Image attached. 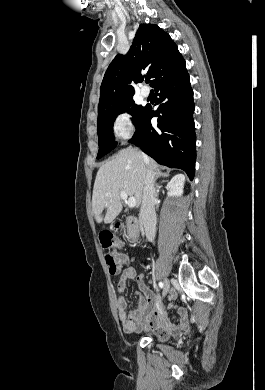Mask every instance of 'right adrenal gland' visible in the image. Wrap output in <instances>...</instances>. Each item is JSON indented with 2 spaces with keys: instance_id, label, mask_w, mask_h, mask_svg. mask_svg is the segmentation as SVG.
<instances>
[{
  "instance_id": "1",
  "label": "right adrenal gland",
  "mask_w": 265,
  "mask_h": 390,
  "mask_svg": "<svg viewBox=\"0 0 265 390\" xmlns=\"http://www.w3.org/2000/svg\"><path fill=\"white\" fill-rule=\"evenodd\" d=\"M156 178H155V181L157 180V179H159V178H166V177H168L169 176V174L168 173H164V172H162L161 170H159V169H157L156 170ZM157 187H158V185H156Z\"/></svg>"
}]
</instances>
